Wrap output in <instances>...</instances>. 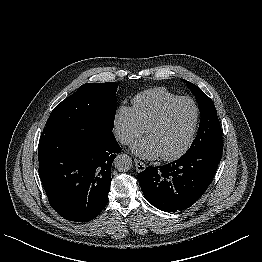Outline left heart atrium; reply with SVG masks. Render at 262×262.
I'll list each match as a JSON object with an SVG mask.
<instances>
[{"label":"left heart atrium","instance_id":"obj_1","mask_svg":"<svg viewBox=\"0 0 262 262\" xmlns=\"http://www.w3.org/2000/svg\"><path fill=\"white\" fill-rule=\"evenodd\" d=\"M132 152L144 159H156L161 156L160 150L155 141L146 136L131 146Z\"/></svg>","mask_w":262,"mask_h":262}]
</instances>
